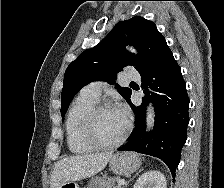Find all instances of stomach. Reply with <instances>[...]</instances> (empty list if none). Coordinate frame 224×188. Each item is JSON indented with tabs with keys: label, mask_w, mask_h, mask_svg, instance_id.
Wrapping results in <instances>:
<instances>
[{
	"label": "stomach",
	"mask_w": 224,
	"mask_h": 188,
	"mask_svg": "<svg viewBox=\"0 0 224 188\" xmlns=\"http://www.w3.org/2000/svg\"><path fill=\"white\" fill-rule=\"evenodd\" d=\"M140 165L141 159L133 152L116 153L109 160L110 170L117 175L133 173ZM59 188H79V186L75 182H66Z\"/></svg>",
	"instance_id": "1"
}]
</instances>
